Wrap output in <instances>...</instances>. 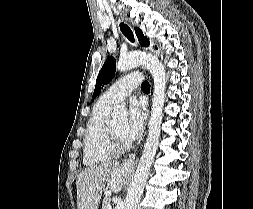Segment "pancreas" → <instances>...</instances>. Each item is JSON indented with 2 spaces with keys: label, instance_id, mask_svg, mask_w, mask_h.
<instances>
[{
  "label": "pancreas",
  "instance_id": "cf45deb5",
  "mask_svg": "<svg viewBox=\"0 0 253 209\" xmlns=\"http://www.w3.org/2000/svg\"><path fill=\"white\" fill-rule=\"evenodd\" d=\"M110 204L109 198L105 197L103 200L102 209H108V205Z\"/></svg>",
  "mask_w": 253,
  "mask_h": 209
}]
</instances>
